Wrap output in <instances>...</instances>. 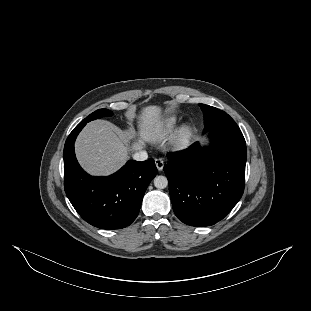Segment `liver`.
Returning a JSON list of instances; mask_svg holds the SVG:
<instances>
[{
	"mask_svg": "<svg viewBox=\"0 0 311 311\" xmlns=\"http://www.w3.org/2000/svg\"><path fill=\"white\" fill-rule=\"evenodd\" d=\"M143 120L140 129L141 141H155L158 138L159 123L157 109L146 108ZM128 139L126 133L109 122H91L77 140L78 159L83 167L93 174H109L119 168L128 158L126 149Z\"/></svg>",
	"mask_w": 311,
	"mask_h": 311,
	"instance_id": "liver-1",
	"label": "liver"
}]
</instances>
